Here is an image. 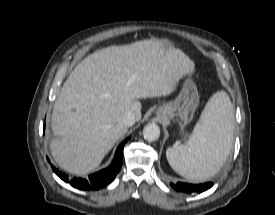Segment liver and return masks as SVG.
I'll list each match as a JSON object with an SVG mask.
<instances>
[{
    "instance_id": "obj_1",
    "label": "liver",
    "mask_w": 275,
    "mask_h": 215,
    "mask_svg": "<svg viewBox=\"0 0 275 215\" xmlns=\"http://www.w3.org/2000/svg\"><path fill=\"white\" fill-rule=\"evenodd\" d=\"M181 50L148 39L110 46L88 55L71 72L55 101L51 154L65 171L83 175L97 168L127 127L132 111L141 119L139 99L167 96L194 72Z\"/></svg>"
}]
</instances>
